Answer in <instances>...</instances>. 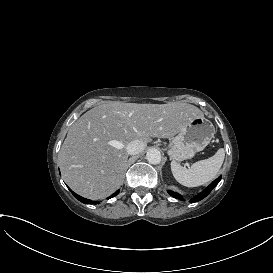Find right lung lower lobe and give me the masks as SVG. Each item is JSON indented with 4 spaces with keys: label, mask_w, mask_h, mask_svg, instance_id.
Listing matches in <instances>:
<instances>
[{
    "label": "right lung lower lobe",
    "mask_w": 273,
    "mask_h": 273,
    "mask_svg": "<svg viewBox=\"0 0 273 273\" xmlns=\"http://www.w3.org/2000/svg\"><path fill=\"white\" fill-rule=\"evenodd\" d=\"M72 192V191H71ZM119 193V191H117L116 193H114L112 196H116ZM72 194L75 196V198H77L79 201H81L82 203L85 204H92L93 202L91 200L85 199L79 195H77L76 193L72 192Z\"/></svg>",
    "instance_id": "1"
}]
</instances>
